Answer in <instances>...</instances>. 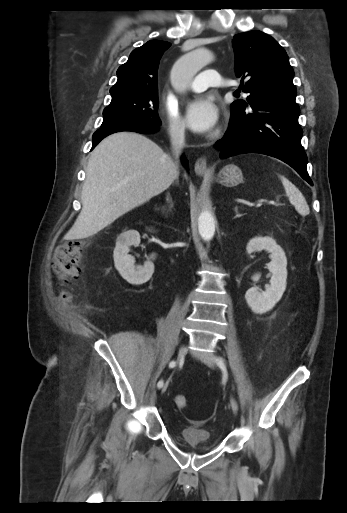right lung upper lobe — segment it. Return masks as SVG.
I'll return each mask as SVG.
<instances>
[{
    "instance_id": "obj_1",
    "label": "right lung upper lobe",
    "mask_w": 347,
    "mask_h": 513,
    "mask_svg": "<svg viewBox=\"0 0 347 513\" xmlns=\"http://www.w3.org/2000/svg\"><path fill=\"white\" fill-rule=\"evenodd\" d=\"M170 45L166 41L151 40L133 50L128 61L117 70L118 80L110 89L111 95L157 91L159 61Z\"/></svg>"
}]
</instances>
